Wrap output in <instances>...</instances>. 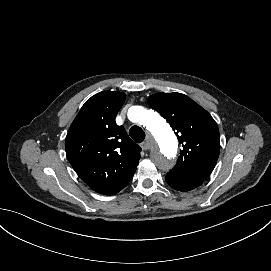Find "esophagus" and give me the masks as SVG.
<instances>
[{
	"mask_svg": "<svg viewBox=\"0 0 271 271\" xmlns=\"http://www.w3.org/2000/svg\"><path fill=\"white\" fill-rule=\"evenodd\" d=\"M154 143L155 142H154L152 136L149 133H147V138H143L140 140L139 147L143 151H148V150L152 149Z\"/></svg>",
	"mask_w": 271,
	"mask_h": 271,
	"instance_id": "obj_1",
	"label": "esophagus"
}]
</instances>
